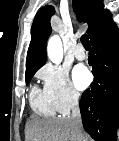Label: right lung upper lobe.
<instances>
[{
	"mask_svg": "<svg viewBox=\"0 0 119 141\" xmlns=\"http://www.w3.org/2000/svg\"><path fill=\"white\" fill-rule=\"evenodd\" d=\"M78 20L87 22V33L92 37L97 27L111 17L104 9L103 0H73ZM55 13L53 6H44L36 14L31 28V42L26 59V74L36 72L47 59L45 44L51 33L50 18Z\"/></svg>",
	"mask_w": 119,
	"mask_h": 141,
	"instance_id": "1",
	"label": "right lung upper lobe"
}]
</instances>
